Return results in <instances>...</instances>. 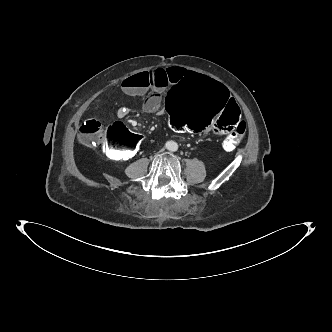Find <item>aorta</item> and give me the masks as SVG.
<instances>
[{"instance_id": "obj_1", "label": "aorta", "mask_w": 332, "mask_h": 332, "mask_svg": "<svg viewBox=\"0 0 332 332\" xmlns=\"http://www.w3.org/2000/svg\"><path fill=\"white\" fill-rule=\"evenodd\" d=\"M173 145L177 146L176 143L172 142Z\"/></svg>"}]
</instances>
